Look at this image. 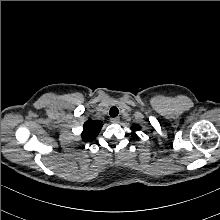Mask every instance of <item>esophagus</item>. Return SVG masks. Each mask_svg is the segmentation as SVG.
I'll return each instance as SVG.
<instances>
[{"label":"esophagus","mask_w":220,"mask_h":220,"mask_svg":"<svg viewBox=\"0 0 220 220\" xmlns=\"http://www.w3.org/2000/svg\"><path fill=\"white\" fill-rule=\"evenodd\" d=\"M120 121V118L119 117H113L111 118V122L112 123H118Z\"/></svg>","instance_id":"1"}]
</instances>
